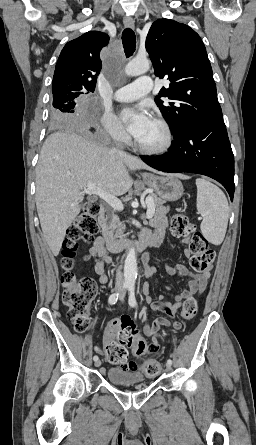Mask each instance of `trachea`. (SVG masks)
<instances>
[{"instance_id": "trachea-1", "label": "trachea", "mask_w": 256, "mask_h": 445, "mask_svg": "<svg viewBox=\"0 0 256 445\" xmlns=\"http://www.w3.org/2000/svg\"><path fill=\"white\" fill-rule=\"evenodd\" d=\"M122 44L126 57L132 56L136 48V36L132 29L126 28L123 31Z\"/></svg>"}]
</instances>
